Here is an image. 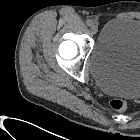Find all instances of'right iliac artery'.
I'll list each match as a JSON object with an SVG mask.
<instances>
[{
	"instance_id": "obj_1",
	"label": "right iliac artery",
	"mask_w": 140,
	"mask_h": 140,
	"mask_svg": "<svg viewBox=\"0 0 140 140\" xmlns=\"http://www.w3.org/2000/svg\"><path fill=\"white\" fill-rule=\"evenodd\" d=\"M86 24H87L88 26H92V25H93V21L90 20V19H88V20L86 21Z\"/></svg>"
}]
</instances>
